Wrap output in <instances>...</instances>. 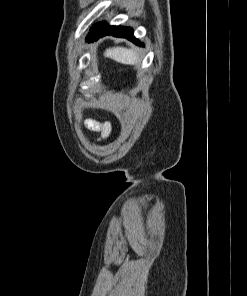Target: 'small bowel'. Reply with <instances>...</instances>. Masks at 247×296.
<instances>
[{
    "label": "small bowel",
    "mask_w": 247,
    "mask_h": 296,
    "mask_svg": "<svg viewBox=\"0 0 247 296\" xmlns=\"http://www.w3.org/2000/svg\"><path fill=\"white\" fill-rule=\"evenodd\" d=\"M88 129L94 132H100L104 137L108 136L111 131V126L109 123L100 122L95 119H89L86 122Z\"/></svg>",
    "instance_id": "c3829d8e"
}]
</instances>
